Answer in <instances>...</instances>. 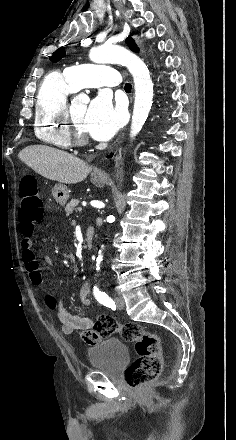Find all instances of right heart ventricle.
Listing matches in <instances>:
<instances>
[{
    "mask_svg": "<svg viewBox=\"0 0 236 440\" xmlns=\"http://www.w3.org/2000/svg\"><path fill=\"white\" fill-rule=\"evenodd\" d=\"M75 89L64 74L50 73L42 81L35 102V134L44 143L67 149L71 140L63 118L67 96Z\"/></svg>",
    "mask_w": 236,
    "mask_h": 440,
    "instance_id": "1",
    "label": "right heart ventricle"
}]
</instances>
